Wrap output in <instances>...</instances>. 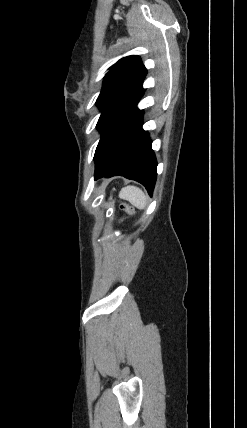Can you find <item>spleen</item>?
<instances>
[{
  "label": "spleen",
  "mask_w": 247,
  "mask_h": 428,
  "mask_svg": "<svg viewBox=\"0 0 247 428\" xmlns=\"http://www.w3.org/2000/svg\"><path fill=\"white\" fill-rule=\"evenodd\" d=\"M120 198L129 201L138 209H144L146 206V195L143 191L135 186L124 187L120 194Z\"/></svg>",
  "instance_id": "3e777b00"
}]
</instances>
